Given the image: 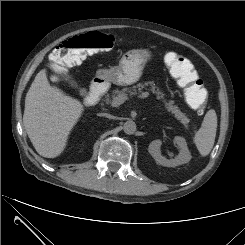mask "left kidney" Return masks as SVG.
Instances as JSON below:
<instances>
[{"mask_svg":"<svg viewBox=\"0 0 245 245\" xmlns=\"http://www.w3.org/2000/svg\"><path fill=\"white\" fill-rule=\"evenodd\" d=\"M174 142L179 146L180 152L174 159H166L161 155V140H154L149 144L148 151L151 156L155 159L156 163L166 167H176L182 164L188 163L192 156L187 147L185 138L176 136Z\"/></svg>","mask_w":245,"mask_h":245,"instance_id":"1","label":"left kidney"}]
</instances>
